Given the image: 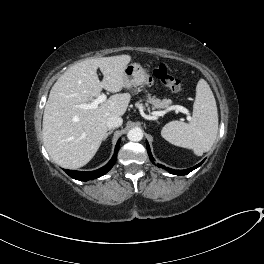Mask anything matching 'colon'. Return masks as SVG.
Here are the masks:
<instances>
[{"instance_id": "colon-1", "label": "colon", "mask_w": 264, "mask_h": 264, "mask_svg": "<svg viewBox=\"0 0 264 264\" xmlns=\"http://www.w3.org/2000/svg\"><path fill=\"white\" fill-rule=\"evenodd\" d=\"M156 77L173 92H180L183 85L179 79L169 73L165 64H160L155 70Z\"/></svg>"}]
</instances>
